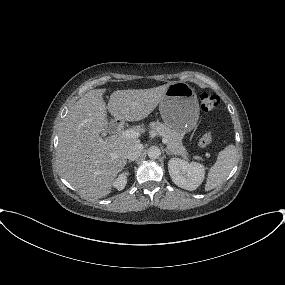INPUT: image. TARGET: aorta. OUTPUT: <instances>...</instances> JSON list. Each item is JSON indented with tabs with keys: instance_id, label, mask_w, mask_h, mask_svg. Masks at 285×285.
<instances>
[{
	"instance_id": "aorta-1",
	"label": "aorta",
	"mask_w": 285,
	"mask_h": 285,
	"mask_svg": "<svg viewBox=\"0 0 285 285\" xmlns=\"http://www.w3.org/2000/svg\"><path fill=\"white\" fill-rule=\"evenodd\" d=\"M147 154L150 159H158L161 155V150L157 146H151Z\"/></svg>"
}]
</instances>
